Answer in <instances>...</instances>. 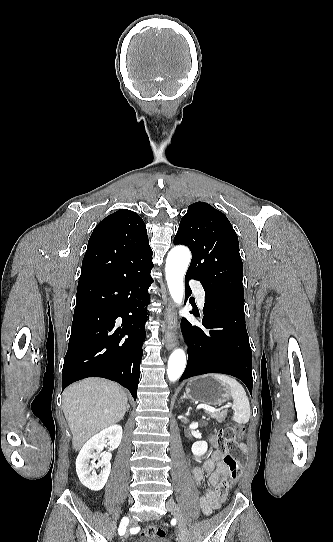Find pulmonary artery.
I'll return each mask as SVG.
<instances>
[{
  "label": "pulmonary artery",
  "mask_w": 333,
  "mask_h": 542,
  "mask_svg": "<svg viewBox=\"0 0 333 542\" xmlns=\"http://www.w3.org/2000/svg\"><path fill=\"white\" fill-rule=\"evenodd\" d=\"M193 294L197 297V302L199 306L202 308L204 305V289L201 287V284L199 282H194L192 284Z\"/></svg>",
  "instance_id": "pulmonary-artery-1"
}]
</instances>
